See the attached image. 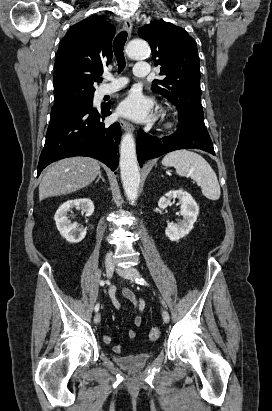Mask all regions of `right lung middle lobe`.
Returning a JSON list of instances; mask_svg holds the SVG:
<instances>
[{"label":"right lung middle lobe","instance_id":"1","mask_svg":"<svg viewBox=\"0 0 272 411\" xmlns=\"http://www.w3.org/2000/svg\"><path fill=\"white\" fill-rule=\"evenodd\" d=\"M93 97L94 92H77L70 99L60 103H55L51 109V116L90 104L93 102Z\"/></svg>","mask_w":272,"mask_h":411}]
</instances>
